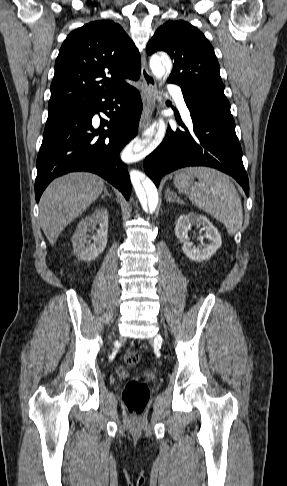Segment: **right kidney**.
<instances>
[{"label": "right kidney", "instance_id": "ca27d5eb", "mask_svg": "<svg viewBox=\"0 0 287 486\" xmlns=\"http://www.w3.org/2000/svg\"><path fill=\"white\" fill-rule=\"evenodd\" d=\"M99 223L97 234L91 237L87 235L89 227ZM108 234V210L104 207L96 209L92 214L83 218L72 236L74 254L81 260L91 261L97 258L107 245Z\"/></svg>", "mask_w": 287, "mask_h": 486}]
</instances>
